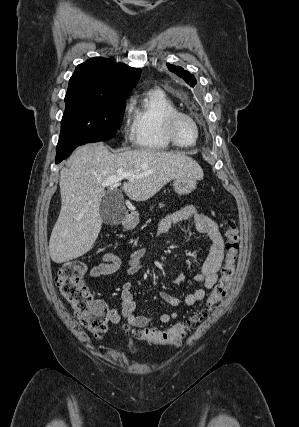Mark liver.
<instances>
[{
	"mask_svg": "<svg viewBox=\"0 0 299 427\" xmlns=\"http://www.w3.org/2000/svg\"><path fill=\"white\" fill-rule=\"evenodd\" d=\"M121 172L137 176L123 184L134 201L150 199L177 177L203 178L200 165L184 153L139 149L113 154L103 143L80 146L69 158V168L60 171L61 210L49 241L53 262H67L92 249L102 226L103 182Z\"/></svg>",
	"mask_w": 299,
	"mask_h": 427,
	"instance_id": "liver-1",
	"label": "liver"
}]
</instances>
